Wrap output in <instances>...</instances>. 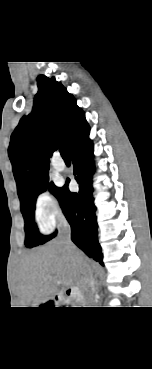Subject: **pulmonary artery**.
Instances as JSON below:
<instances>
[{
  "mask_svg": "<svg viewBox=\"0 0 152 369\" xmlns=\"http://www.w3.org/2000/svg\"><path fill=\"white\" fill-rule=\"evenodd\" d=\"M53 166L57 171H63L65 169V163L59 156H56L54 158Z\"/></svg>",
  "mask_w": 152,
  "mask_h": 369,
  "instance_id": "obj_1",
  "label": "pulmonary artery"
}]
</instances>
